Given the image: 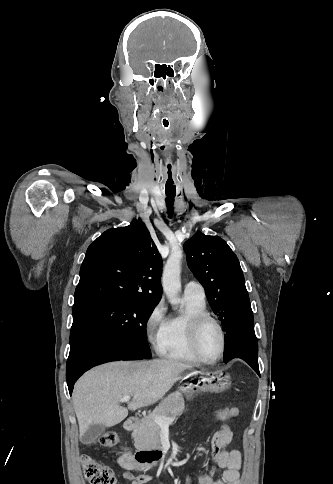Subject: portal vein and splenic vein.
<instances>
[{
  "label": "portal vein and splenic vein",
  "instance_id": "obj_1",
  "mask_svg": "<svg viewBox=\"0 0 333 484\" xmlns=\"http://www.w3.org/2000/svg\"><path fill=\"white\" fill-rule=\"evenodd\" d=\"M131 399V396H124L120 399V402L124 403V402H128L129 400ZM176 420L175 417H165V416H160V415H156L154 416V421L155 423H157L159 426H168L170 425L172 422H174Z\"/></svg>",
  "mask_w": 333,
  "mask_h": 484
}]
</instances>
